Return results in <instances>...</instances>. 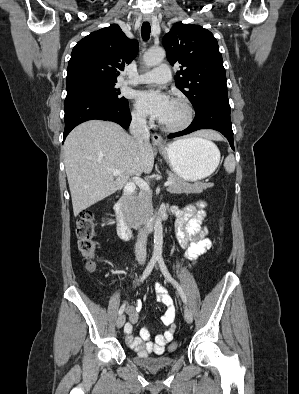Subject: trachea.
<instances>
[{
  "mask_svg": "<svg viewBox=\"0 0 299 394\" xmlns=\"http://www.w3.org/2000/svg\"><path fill=\"white\" fill-rule=\"evenodd\" d=\"M151 32V26L149 22H144L141 27V35L144 40H148Z\"/></svg>",
  "mask_w": 299,
  "mask_h": 394,
  "instance_id": "trachea-1",
  "label": "trachea"
}]
</instances>
